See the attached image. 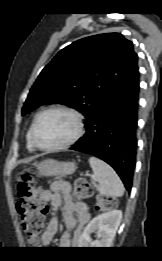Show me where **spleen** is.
I'll return each mask as SVG.
<instances>
[{
	"mask_svg": "<svg viewBox=\"0 0 162 261\" xmlns=\"http://www.w3.org/2000/svg\"><path fill=\"white\" fill-rule=\"evenodd\" d=\"M89 163L93 176L99 183L97 190L101 195L121 197L124 194L123 183L111 166L93 156L89 158Z\"/></svg>",
	"mask_w": 162,
	"mask_h": 261,
	"instance_id": "spleen-1",
	"label": "spleen"
}]
</instances>
